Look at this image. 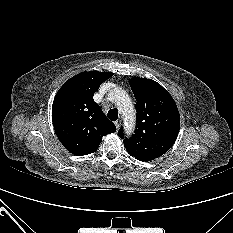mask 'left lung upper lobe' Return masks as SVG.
Masks as SVG:
<instances>
[{
  "instance_id": "obj_1",
  "label": "left lung upper lobe",
  "mask_w": 233,
  "mask_h": 233,
  "mask_svg": "<svg viewBox=\"0 0 233 233\" xmlns=\"http://www.w3.org/2000/svg\"><path fill=\"white\" fill-rule=\"evenodd\" d=\"M129 83L137 101V126L135 134L123 140L124 146L137 160L151 161L173 146L180 115L171 95L156 81L133 77ZM118 134L124 138L123 128Z\"/></svg>"
}]
</instances>
